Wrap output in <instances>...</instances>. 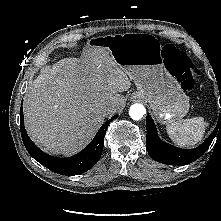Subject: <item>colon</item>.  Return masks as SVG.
Returning <instances> with one entry per match:
<instances>
[{
	"label": "colon",
	"instance_id": "5ec220e1",
	"mask_svg": "<svg viewBox=\"0 0 221 221\" xmlns=\"http://www.w3.org/2000/svg\"><path fill=\"white\" fill-rule=\"evenodd\" d=\"M163 55L166 58L167 70L178 80L181 88L186 92L192 91L195 88L199 72L190 57L171 46H166L163 49Z\"/></svg>",
	"mask_w": 221,
	"mask_h": 221
}]
</instances>
